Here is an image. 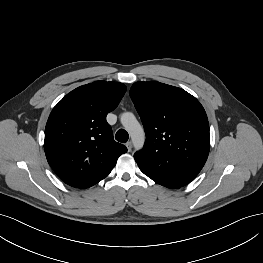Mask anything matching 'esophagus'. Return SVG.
<instances>
[{"mask_svg": "<svg viewBox=\"0 0 263 263\" xmlns=\"http://www.w3.org/2000/svg\"><path fill=\"white\" fill-rule=\"evenodd\" d=\"M126 147H127L128 152H130L131 149H132V142H131V141H128V142L126 143Z\"/></svg>", "mask_w": 263, "mask_h": 263, "instance_id": "obj_1", "label": "esophagus"}]
</instances>
